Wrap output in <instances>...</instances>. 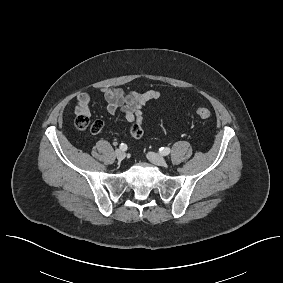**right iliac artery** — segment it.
<instances>
[{
    "label": "right iliac artery",
    "instance_id": "obj_1",
    "mask_svg": "<svg viewBox=\"0 0 283 283\" xmlns=\"http://www.w3.org/2000/svg\"><path fill=\"white\" fill-rule=\"evenodd\" d=\"M127 148H128V147H127L126 144H123V143H122V144L120 145V149H121L122 151H126Z\"/></svg>",
    "mask_w": 283,
    "mask_h": 283
}]
</instances>
